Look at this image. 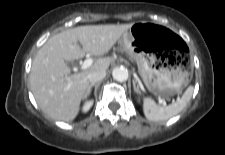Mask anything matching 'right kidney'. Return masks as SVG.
<instances>
[{
	"label": "right kidney",
	"mask_w": 225,
	"mask_h": 155,
	"mask_svg": "<svg viewBox=\"0 0 225 155\" xmlns=\"http://www.w3.org/2000/svg\"><path fill=\"white\" fill-rule=\"evenodd\" d=\"M92 105H93V100H89V101L85 102V104L82 108L83 112H87L91 108Z\"/></svg>",
	"instance_id": "1"
}]
</instances>
